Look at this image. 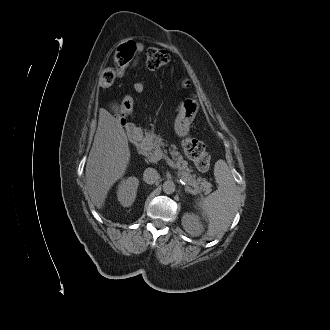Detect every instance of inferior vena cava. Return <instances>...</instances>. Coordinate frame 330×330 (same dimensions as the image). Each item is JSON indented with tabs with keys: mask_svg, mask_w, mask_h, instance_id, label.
Wrapping results in <instances>:
<instances>
[{
	"mask_svg": "<svg viewBox=\"0 0 330 330\" xmlns=\"http://www.w3.org/2000/svg\"><path fill=\"white\" fill-rule=\"evenodd\" d=\"M159 179V174L154 168H147L143 173V180L147 184H153Z\"/></svg>",
	"mask_w": 330,
	"mask_h": 330,
	"instance_id": "obj_1",
	"label": "inferior vena cava"
}]
</instances>
